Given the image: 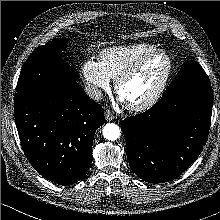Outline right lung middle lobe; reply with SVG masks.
I'll list each match as a JSON object with an SVG mask.
<instances>
[{
  "instance_id": "dd1d6c3e",
  "label": "right lung middle lobe",
  "mask_w": 220,
  "mask_h": 220,
  "mask_svg": "<svg viewBox=\"0 0 220 220\" xmlns=\"http://www.w3.org/2000/svg\"><path fill=\"white\" fill-rule=\"evenodd\" d=\"M67 42V38L57 39L36 48L20 73L16 91L21 92L37 89L43 85L55 86L67 81H76L77 73L60 57Z\"/></svg>"
}]
</instances>
